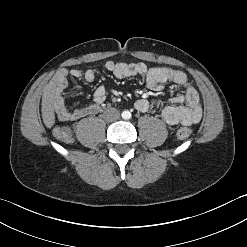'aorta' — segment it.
<instances>
[{
  "label": "aorta",
  "mask_w": 247,
  "mask_h": 247,
  "mask_svg": "<svg viewBox=\"0 0 247 247\" xmlns=\"http://www.w3.org/2000/svg\"><path fill=\"white\" fill-rule=\"evenodd\" d=\"M122 118L123 119H130L131 118V113L129 111H123L122 112Z\"/></svg>",
  "instance_id": "1"
}]
</instances>
